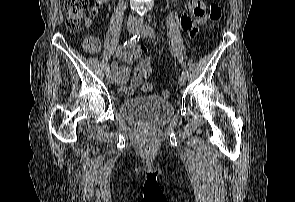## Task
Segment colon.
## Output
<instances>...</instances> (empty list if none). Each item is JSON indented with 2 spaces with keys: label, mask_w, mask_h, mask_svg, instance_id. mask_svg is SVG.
<instances>
[{
  "label": "colon",
  "mask_w": 295,
  "mask_h": 202,
  "mask_svg": "<svg viewBox=\"0 0 295 202\" xmlns=\"http://www.w3.org/2000/svg\"><path fill=\"white\" fill-rule=\"evenodd\" d=\"M87 0H65L63 9L66 14V27L71 32H77L82 25L84 12L87 7ZM223 0H217L212 3L209 9V20L213 26L218 24L222 18ZM141 63L136 66L137 75L150 74L152 65V56H141ZM142 90H153L152 82H145ZM163 98H168L170 92L163 90L161 93Z\"/></svg>",
  "instance_id": "5ec220e1"
}]
</instances>
